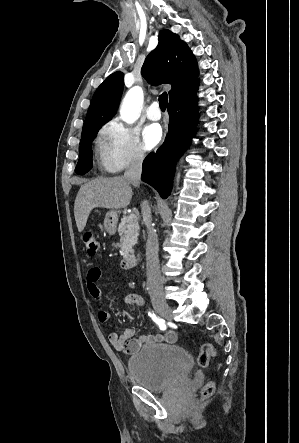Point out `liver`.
Here are the masks:
<instances>
[{"instance_id": "6515ba94", "label": "liver", "mask_w": 299, "mask_h": 443, "mask_svg": "<svg viewBox=\"0 0 299 443\" xmlns=\"http://www.w3.org/2000/svg\"><path fill=\"white\" fill-rule=\"evenodd\" d=\"M124 177L97 178L83 184L74 203V216L79 232L86 226L94 208H126L132 198V187Z\"/></svg>"}]
</instances>
